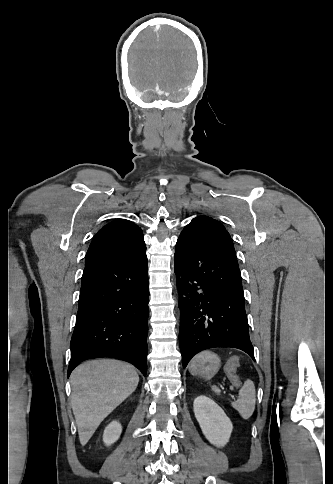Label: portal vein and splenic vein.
<instances>
[{"label": "portal vein and splenic vein", "mask_w": 333, "mask_h": 484, "mask_svg": "<svg viewBox=\"0 0 333 484\" xmlns=\"http://www.w3.org/2000/svg\"><path fill=\"white\" fill-rule=\"evenodd\" d=\"M231 397H234L233 395L229 394Z\"/></svg>", "instance_id": "obj_1"}]
</instances>
